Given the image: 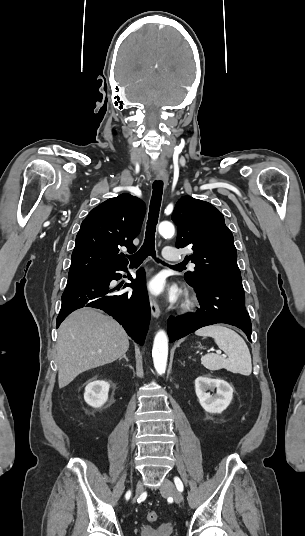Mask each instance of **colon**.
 <instances>
[{
    "label": "colon",
    "mask_w": 305,
    "mask_h": 536,
    "mask_svg": "<svg viewBox=\"0 0 305 536\" xmlns=\"http://www.w3.org/2000/svg\"><path fill=\"white\" fill-rule=\"evenodd\" d=\"M159 518L157 512L155 511H151L147 514V520L150 521V522H155L157 521Z\"/></svg>",
    "instance_id": "1"
}]
</instances>
